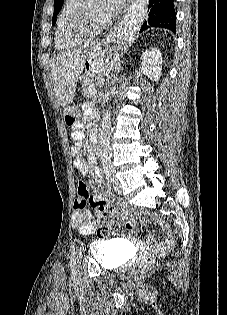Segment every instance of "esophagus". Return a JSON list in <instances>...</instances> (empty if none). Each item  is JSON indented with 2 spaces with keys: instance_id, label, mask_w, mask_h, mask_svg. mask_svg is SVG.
I'll return each instance as SVG.
<instances>
[{
  "instance_id": "34e87169",
  "label": "esophagus",
  "mask_w": 227,
  "mask_h": 315,
  "mask_svg": "<svg viewBox=\"0 0 227 315\" xmlns=\"http://www.w3.org/2000/svg\"><path fill=\"white\" fill-rule=\"evenodd\" d=\"M117 28H118V24L116 26H114V28H113V30H112V32L110 34V37H112L113 39L116 37Z\"/></svg>"
}]
</instances>
